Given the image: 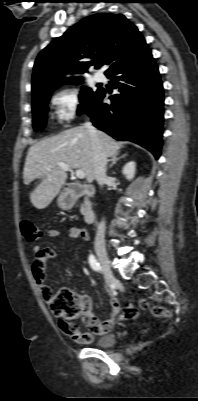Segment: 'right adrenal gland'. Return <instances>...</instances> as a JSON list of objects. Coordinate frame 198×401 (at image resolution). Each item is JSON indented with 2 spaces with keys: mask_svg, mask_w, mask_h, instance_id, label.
Here are the masks:
<instances>
[{
  "mask_svg": "<svg viewBox=\"0 0 198 401\" xmlns=\"http://www.w3.org/2000/svg\"><path fill=\"white\" fill-rule=\"evenodd\" d=\"M126 155H127V154H124V155H122V156H120V157L112 156V157H111V160H110L112 163L110 164L109 168H112L113 165H114L118 160H120L121 158L126 157Z\"/></svg>",
  "mask_w": 198,
  "mask_h": 401,
  "instance_id": "2a0ac1e0",
  "label": "right adrenal gland"
}]
</instances>
